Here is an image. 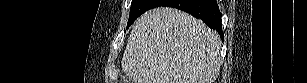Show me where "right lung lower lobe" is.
<instances>
[{
    "label": "right lung lower lobe",
    "instance_id": "98d812e1",
    "mask_svg": "<svg viewBox=\"0 0 307 83\" xmlns=\"http://www.w3.org/2000/svg\"><path fill=\"white\" fill-rule=\"evenodd\" d=\"M158 6L177 8L200 18L223 38L221 13L216 0H153L150 9Z\"/></svg>",
    "mask_w": 307,
    "mask_h": 83
}]
</instances>
